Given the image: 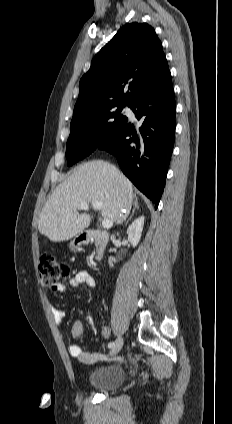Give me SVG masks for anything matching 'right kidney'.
Here are the masks:
<instances>
[{
    "label": "right kidney",
    "instance_id": "1",
    "mask_svg": "<svg viewBox=\"0 0 232 424\" xmlns=\"http://www.w3.org/2000/svg\"><path fill=\"white\" fill-rule=\"evenodd\" d=\"M144 216H140L135 219L132 224L127 229L128 241L133 247H136L140 241L143 225H144ZM109 265L112 267V261L109 260Z\"/></svg>",
    "mask_w": 232,
    "mask_h": 424
}]
</instances>
